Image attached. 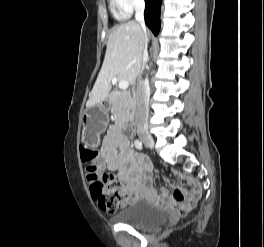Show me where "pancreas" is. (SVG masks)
Here are the masks:
<instances>
[{
	"label": "pancreas",
	"instance_id": "cf45deb5",
	"mask_svg": "<svg viewBox=\"0 0 264 247\" xmlns=\"http://www.w3.org/2000/svg\"><path fill=\"white\" fill-rule=\"evenodd\" d=\"M111 111L117 125H121L131 119L133 108V97L130 92H120L112 96Z\"/></svg>",
	"mask_w": 264,
	"mask_h": 247
}]
</instances>
